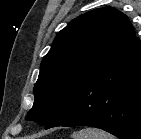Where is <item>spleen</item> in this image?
<instances>
[{"label":"spleen","mask_w":141,"mask_h":139,"mask_svg":"<svg viewBox=\"0 0 141 139\" xmlns=\"http://www.w3.org/2000/svg\"><path fill=\"white\" fill-rule=\"evenodd\" d=\"M72 139H115L111 134L96 128H85L73 132Z\"/></svg>","instance_id":"spleen-1"}]
</instances>
